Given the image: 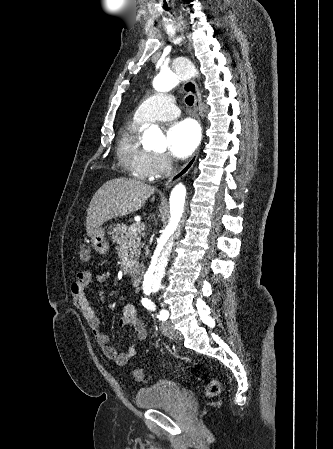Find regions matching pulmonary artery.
Listing matches in <instances>:
<instances>
[{"mask_svg": "<svg viewBox=\"0 0 333 449\" xmlns=\"http://www.w3.org/2000/svg\"><path fill=\"white\" fill-rule=\"evenodd\" d=\"M180 111L171 95L156 94L146 99L136 110L134 119L141 124L176 118Z\"/></svg>", "mask_w": 333, "mask_h": 449, "instance_id": "obj_1", "label": "pulmonary artery"}]
</instances>
